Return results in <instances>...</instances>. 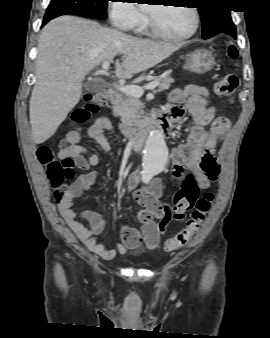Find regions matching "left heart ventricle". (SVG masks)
I'll return each instance as SVG.
<instances>
[{"mask_svg": "<svg viewBox=\"0 0 270 338\" xmlns=\"http://www.w3.org/2000/svg\"><path fill=\"white\" fill-rule=\"evenodd\" d=\"M149 12L159 29L169 34H186L194 25L193 14L187 7L150 5Z\"/></svg>", "mask_w": 270, "mask_h": 338, "instance_id": "obj_1", "label": "left heart ventricle"}]
</instances>
